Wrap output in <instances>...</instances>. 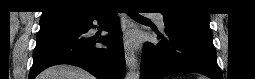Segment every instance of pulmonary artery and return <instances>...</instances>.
<instances>
[{
	"label": "pulmonary artery",
	"mask_w": 255,
	"mask_h": 79,
	"mask_svg": "<svg viewBox=\"0 0 255 79\" xmlns=\"http://www.w3.org/2000/svg\"><path fill=\"white\" fill-rule=\"evenodd\" d=\"M156 19H157L159 26L164 29L165 25H164L163 17L161 15H159V16H157Z\"/></svg>",
	"instance_id": "obj_1"
}]
</instances>
